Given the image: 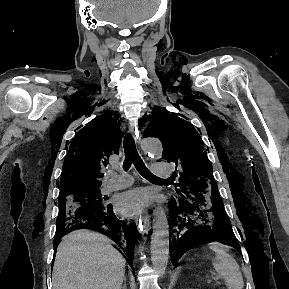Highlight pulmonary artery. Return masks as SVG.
<instances>
[{
  "instance_id": "pulmonary-artery-1",
  "label": "pulmonary artery",
  "mask_w": 289,
  "mask_h": 289,
  "mask_svg": "<svg viewBox=\"0 0 289 289\" xmlns=\"http://www.w3.org/2000/svg\"><path fill=\"white\" fill-rule=\"evenodd\" d=\"M153 173L157 177L168 178L172 175V166L166 161H157L154 164ZM132 184V178L126 174H111L104 183L103 188L106 192L125 188Z\"/></svg>"
}]
</instances>
